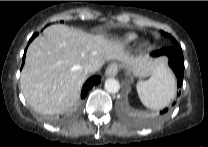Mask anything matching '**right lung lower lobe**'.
Returning <instances> with one entry per match:
<instances>
[{
  "label": "right lung lower lobe",
  "mask_w": 208,
  "mask_h": 147,
  "mask_svg": "<svg viewBox=\"0 0 208 147\" xmlns=\"http://www.w3.org/2000/svg\"><path fill=\"white\" fill-rule=\"evenodd\" d=\"M36 36H37V33H35V34L31 37L29 43H30ZM24 62H25V53H24L23 60H22V66H23ZM100 81H101V78H100L99 76H93V77H91L90 79H88V80L86 81V83L84 84V86H83L82 93H81V97H82V98H85V96L87 95L89 89H91L94 85L100 83Z\"/></svg>",
  "instance_id": "obj_1"
}]
</instances>
